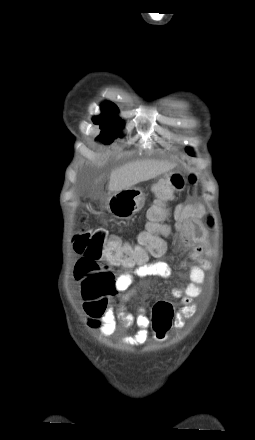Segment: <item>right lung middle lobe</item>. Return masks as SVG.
Listing matches in <instances>:
<instances>
[{"label": "right lung middle lobe", "instance_id": "1", "mask_svg": "<svg viewBox=\"0 0 255 440\" xmlns=\"http://www.w3.org/2000/svg\"><path fill=\"white\" fill-rule=\"evenodd\" d=\"M102 114L93 118L95 124L100 125L99 138L104 144H110L114 138L122 136L120 133L123 122L117 116L118 108L101 107Z\"/></svg>", "mask_w": 255, "mask_h": 440}]
</instances>
